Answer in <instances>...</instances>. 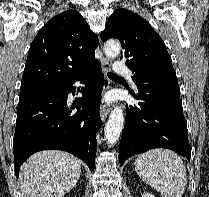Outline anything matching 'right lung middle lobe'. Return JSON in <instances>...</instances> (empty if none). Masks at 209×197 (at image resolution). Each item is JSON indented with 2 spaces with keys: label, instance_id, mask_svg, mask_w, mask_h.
I'll list each match as a JSON object with an SVG mask.
<instances>
[{
  "label": "right lung middle lobe",
  "instance_id": "obj_1",
  "mask_svg": "<svg viewBox=\"0 0 209 197\" xmlns=\"http://www.w3.org/2000/svg\"><path fill=\"white\" fill-rule=\"evenodd\" d=\"M56 87H44V88H36V89H28V90H20V95H19V99L20 98H24L36 93H40V92H44L47 90H51L54 89Z\"/></svg>",
  "mask_w": 209,
  "mask_h": 197
}]
</instances>
